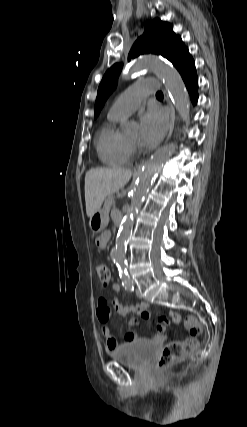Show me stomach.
<instances>
[{"mask_svg": "<svg viewBox=\"0 0 247 427\" xmlns=\"http://www.w3.org/2000/svg\"><path fill=\"white\" fill-rule=\"evenodd\" d=\"M108 221V213L103 209H100L90 217L89 225L94 233H99L105 229Z\"/></svg>", "mask_w": 247, "mask_h": 427, "instance_id": "0dacf381", "label": "stomach"}]
</instances>
